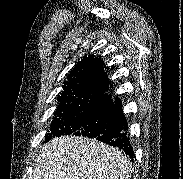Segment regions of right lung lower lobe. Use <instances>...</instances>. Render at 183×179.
<instances>
[{"label":"right lung lower lobe","instance_id":"98d812e1","mask_svg":"<svg viewBox=\"0 0 183 179\" xmlns=\"http://www.w3.org/2000/svg\"><path fill=\"white\" fill-rule=\"evenodd\" d=\"M106 98L108 105L98 120L74 135L97 139L122 149L130 158H133L134 151L127 132L128 125L123 114L121 100L116 98L114 101L111 95Z\"/></svg>","mask_w":183,"mask_h":179}]
</instances>
